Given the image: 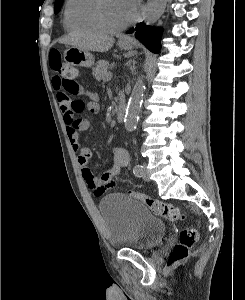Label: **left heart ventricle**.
Masks as SVG:
<instances>
[{"mask_svg":"<svg viewBox=\"0 0 245 300\" xmlns=\"http://www.w3.org/2000/svg\"><path fill=\"white\" fill-rule=\"evenodd\" d=\"M100 17L109 27H117L128 21L132 13L125 0H102Z\"/></svg>","mask_w":245,"mask_h":300,"instance_id":"left-heart-ventricle-1","label":"left heart ventricle"}]
</instances>
